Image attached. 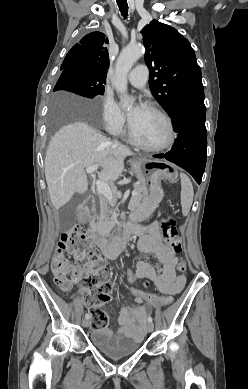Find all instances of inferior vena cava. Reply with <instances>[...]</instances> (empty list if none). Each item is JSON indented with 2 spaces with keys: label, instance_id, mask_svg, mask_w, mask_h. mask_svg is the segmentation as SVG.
Masks as SVG:
<instances>
[{
  "label": "inferior vena cava",
  "instance_id": "obj_1",
  "mask_svg": "<svg viewBox=\"0 0 248 389\" xmlns=\"http://www.w3.org/2000/svg\"><path fill=\"white\" fill-rule=\"evenodd\" d=\"M114 145H119L118 141H114Z\"/></svg>",
  "mask_w": 248,
  "mask_h": 389
}]
</instances>
